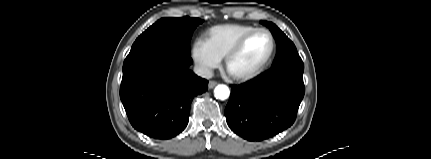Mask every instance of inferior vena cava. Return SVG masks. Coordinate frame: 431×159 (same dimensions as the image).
<instances>
[{
  "label": "inferior vena cava",
  "mask_w": 431,
  "mask_h": 159,
  "mask_svg": "<svg viewBox=\"0 0 431 159\" xmlns=\"http://www.w3.org/2000/svg\"><path fill=\"white\" fill-rule=\"evenodd\" d=\"M194 72L198 76L205 78V79H210L214 75L213 71L205 65H195L194 66Z\"/></svg>",
  "instance_id": "obj_1"
}]
</instances>
